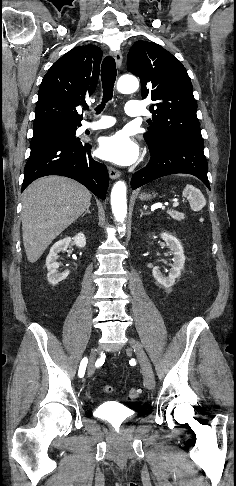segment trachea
Wrapping results in <instances>:
<instances>
[{"label":"trachea","mask_w":236,"mask_h":486,"mask_svg":"<svg viewBox=\"0 0 236 486\" xmlns=\"http://www.w3.org/2000/svg\"><path fill=\"white\" fill-rule=\"evenodd\" d=\"M116 76H117V69H116L115 60L111 56L105 57L101 66L103 99L101 105H99L95 109L97 113H100L104 109L106 102L112 99ZM84 109L88 110L89 107L86 106L84 107Z\"/></svg>","instance_id":"3493384b"}]
</instances>
